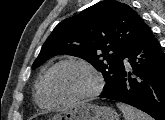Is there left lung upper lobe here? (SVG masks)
Segmentation results:
<instances>
[{"instance_id":"1","label":"left lung upper lobe","mask_w":165,"mask_h":120,"mask_svg":"<svg viewBox=\"0 0 165 120\" xmlns=\"http://www.w3.org/2000/svg\"><path fill=\"white\" fill-rule=\"evenodd\" d=\"M145 26L129 5L104 0L61 21L42 46L32 68L60 54L80 57L102 72L106 82L104 94L110 93L119 85L125 51Z\"/></svg>"}]
</instances>
